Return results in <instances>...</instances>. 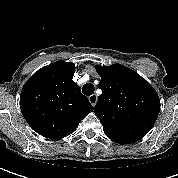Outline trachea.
<instances>
[{"mask_svg": "<svg viewBox=\"0 0 178 178\" xmlns=\"http://www.w3.org/2000/svg\"><path fill=\"white\" fill-rule=\"evenodd\" d=\"M94 91H95V88H94L93 84H91V83L85 84L82 88V92L86 96L92 95L94 93Z\"/></svg>", "mask_w": 178, "mask_h": 178, "instance_id": "1", "label": "trachea"}]
</instances>
